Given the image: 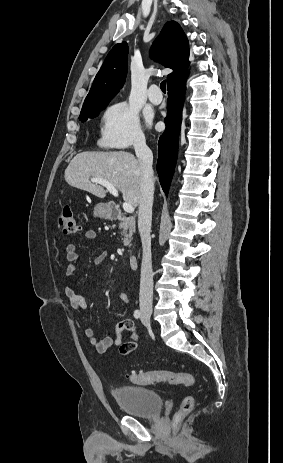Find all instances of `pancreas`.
Returning <instances> with one entry per match:
<instances>
[{"instance_id":"pancreas-1","label":"pancreas","mask_w":283,"mask_h":463,"mask_svg":"<svg viewBox=\"0 0 283 463\" xmlns=\"http://www.w3.org/2000/svg\"><path fill=\"white\" fill-rule=\"evenodd\" d=\"M119 229H122L121 234L124 236L123 243L129 246L132 240L133 233L136 230L135 218L123 217L119 222Z\"/></svg>"}]
</instances>
